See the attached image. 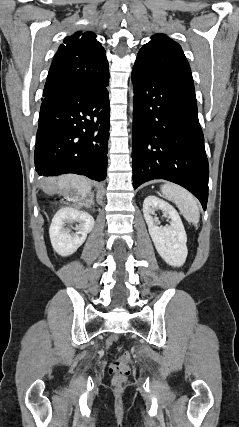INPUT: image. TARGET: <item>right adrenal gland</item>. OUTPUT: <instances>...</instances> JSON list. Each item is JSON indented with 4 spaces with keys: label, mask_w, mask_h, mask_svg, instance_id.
<instances>
[{
    "label": "right adrenal gland",
    "mask_w": 239,
    "mask_h": 427,
    "mask_svg": "<svg viewBox=\"0 0 239 427\" xmlns=\"http://www.w3.org/2000/svg\"><path fill=\"white\" fill-rule=\"evenodd\" d=\"M91 197L93 198V197H94V195L92 194V195H91Z\"/></svg>",
    "instance_id": "2a0ac1e0"
}]
</instances>
